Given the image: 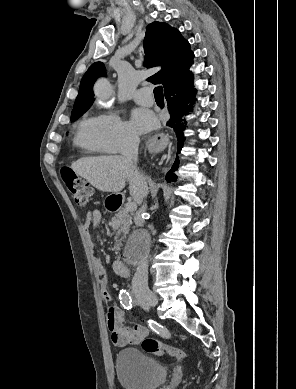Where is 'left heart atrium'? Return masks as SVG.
I'll list each match as a JSON object with an SVG mask.
<instances>
[{
    "label": "left heart atrium",
    "instance_id": "39dd6f15",
    "mask_svg": "<svg viewBox=\"0 0 296 389\" xmlns=\"http://www.w3.org/2000/svg\"><path fill=\"white\" fill-rule=\"evenodd\" d=\"M131 124L137 132L144 133L153 128L155 118L149 110L135 108L131 111Z\"/></svg>",
    "mask_w": 296,
    "mask_h": 389
}]
</instances>
